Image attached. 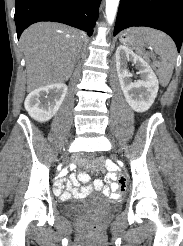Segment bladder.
<instances>
[{"label": "bladder", "mask_w": 183, "mask_h": 246, "mask_svg": "<svg viewBox=\"0 0 183 246\" xmlns=\"http://www.w3.org/2000/svg\"><path fill=\"white\" fill-rule=\"evenodd\" d=\"M85 204L83 201L77 203V204H73V205H69L64 209V212L68 215H75L80 213L84 208H85Z\"/></svg>", "instance_id": "31cf9c89"}]
</instances>
